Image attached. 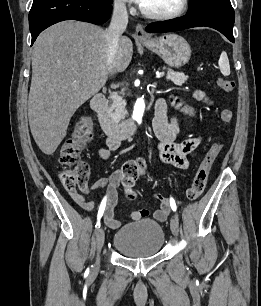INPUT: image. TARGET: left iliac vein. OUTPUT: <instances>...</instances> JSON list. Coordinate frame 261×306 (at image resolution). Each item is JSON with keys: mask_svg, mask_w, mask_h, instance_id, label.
<instances>
[{"mask_svg": "<svg viewBox=\"0 0 261 306\" xmlns=\"http://www.w3.org/2000/svg\"><path fill=\"white\" fill-rule=\"evenodd\" d=\"M170 228L172 233L177 236L179 233V218L177 215H174L170 222Z\"/></svg>", "mask_w": 261, "mask_h": 306, "instance_id": "1", "label": "left iliac vein"}]
</instances>
